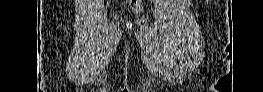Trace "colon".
Segmentation results:
<instances>
[{"mask_svg":"<svg viewBox=\"0 0 263 92\" xmlns=\"http://www.w3.org/2000/svg\"><path fill=\"white\" fill-rule=\"evenodd\" d=\"M131 8L138 12L141 9V0H130L129 1Z\"/></svg>","mask_w":263,"mask_h":92,"instance_id":"obj_1","label":"colon"}]
</instances>
